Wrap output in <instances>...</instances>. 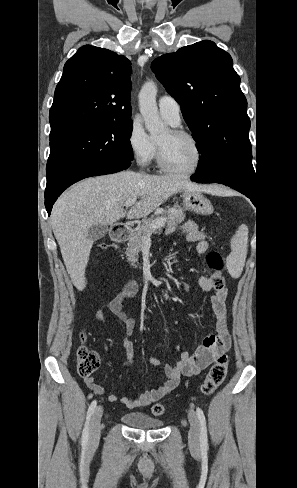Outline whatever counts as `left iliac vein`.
<instances>
[{
	"instance_id": "4c4485c4",
	"label": "left iliac vein",
	"mask_w": 297,
	"mask_h": 488,
	"mask_svg": "<svg viewBox=\"0 0 297 488\" xmlns=\"http://www.w3.org/2000/svg\"><path fill=\"white\" fill-rule=\"evenodd\" d=\"M188 419L190 423V429L188 432L189 446L193 452L197 453L199 451L200 426L197 414L194 410H188Z\"/></svg>"
}]
</instances>
